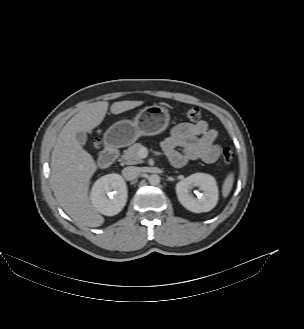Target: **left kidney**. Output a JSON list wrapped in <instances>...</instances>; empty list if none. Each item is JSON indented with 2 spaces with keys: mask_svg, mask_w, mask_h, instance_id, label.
Listing matches in <instances>:
<instances>
[{
  "mask_svg": "<svg viewBox=\"0 0 304 329\" xmlns=\"http://www.w3.org/2000/svg\"><path fill=\"white\" fill-rule=\"evenodd\" d=\"M195 186L203 191L202 196L197 199L190 194V190ZM175 189L179 202L191 212H208L216 206L218 201L217 183L209 174L194 173L179 181Z\"/></svg>",
  "mask_w": 304,
  "mask_h": 329,
  "instance_id": "obj_1",
  "label": "left kidney"
}]
</instances>
